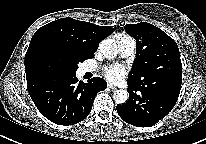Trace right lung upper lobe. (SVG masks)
<instances>
[{
  "instance_id": "right-lung-upper-lobe-1",
  "label": "right lung upper lobe",
  "mask_w": 206,
  "mask_h": 144,
  "mask_svg": "<svg viewBox=\"0 0 206 144\" xmlns=\"http://www.w3.org/2000/svg\"><path fill=\"white\" fill-rule=\"evenodd\" d=\"M114 32L109 26H98L72 18H61L50 22L33 35L25 58L34 50L49 46L80 53L88 59L94 57L99 43ZM26 76H31L26 72Z\"/></svg>"
}]
</instances>
